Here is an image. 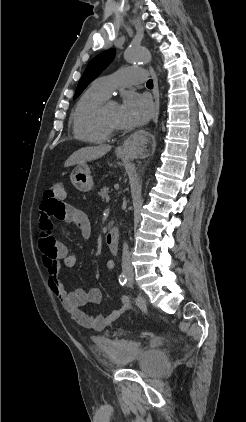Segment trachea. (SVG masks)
<instances>
[{"label":"trachea","instance_id":"1","mask_svg":"<svg viewBox=\"0 0 246 422\" xmlns=\"http://www.w3.org/2000/svg\"><path fill=\"white\" fill-rule=\"evenodd\" d=\"M147 87H153V81L152 79L148 80L146 83Z\"/></svg>","mask_w":246,"mask_h":422}]
</instances>
